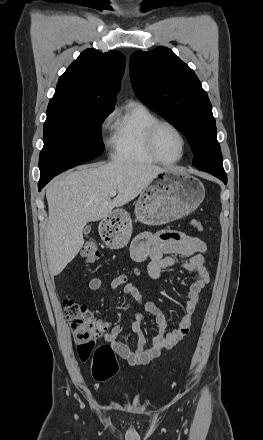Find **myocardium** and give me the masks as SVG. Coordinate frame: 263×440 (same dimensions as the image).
I'll use <instances>...</instances> for the list:
<instances>
[{
    "label": "myocardium",
    "mask_w": 263,
    "mask_h": 440,
    "mask_svg": "<svg viewBox=\"0 0 263 440\" xmlns=\"http://www.w3.org/2000/svg\"><path fill=\"white\" fill-rule=\"evenodd\" d=\"M163 126L171 128L181 139L182 152H181L180 157L175 160H164L156 152L155 137H156V134H157V131L159 130V128H161ZM145 145H146V149H147L149 155L156 162L161 163V164H165V165H172V164H176V163L180 162L185 157L188 143H187V139H186V136L184 135V133L175 124H173L172 122L167 121V120H157L154 123H152L146 131Z\"/></svg>",
    "instance_id": "1"
}]
</instances>
